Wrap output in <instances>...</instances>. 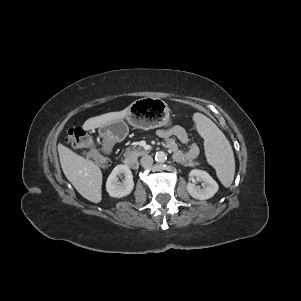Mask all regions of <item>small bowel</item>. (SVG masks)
I'll return each instance as SVG.
<instances>
[{"label": "small bowel", "mask_w": 301, "mask_h": 301, "mask_svg": "<svg viewBox=\"0 0 301 301\" xmlns=\"http://www.w3.org/2000/svg\"><path fill=\"white\" fill-rule=\"evenodd\" d=\"M158 135L165 140L166 147L172 152L178 163L191 164L199 155V147L196 143H189V135L181 126H172L158 130ZM174 136L178 141L187 145V150L182 151L177 143L171 138Z\"/></svg>", "instance_id": "1"}]
</instances>
